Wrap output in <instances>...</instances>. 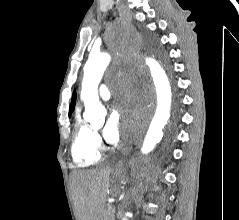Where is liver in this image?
<instances>
[{
    "mask_svg": "<svg viewBox=\"0 0 239 220\" xmlns=\"http://www.w3.org/2000/svg\"><path fill=\"white\" fill-rule=\"evenodd\" d=\"M110 167L73 171L70 175L77 220H103Z\"/></svg>",
    "mask_w": 239,
    "mask_h": 220,
    "instance_id": "liver-1",
    "label": "liver"
}]
</instances>
